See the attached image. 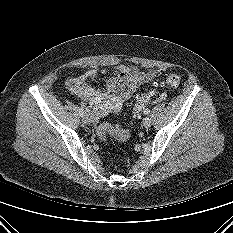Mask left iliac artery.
<instances>
[{"instance_id": "left-iliac-artery-1", "label": "left iliac artery", "mask_w": 233, "mask_h": 233, "mask_svg": "<svg viewBox=\"0 0 233 233\" xmlns=\"http://www.w3.org/2000/svg\"><path fill=\"white\" fill-rule=\"evenodd\" d=\"M150 113L149 109H145L144 114L148 115Z\"/></svg>"}]
</instances>
